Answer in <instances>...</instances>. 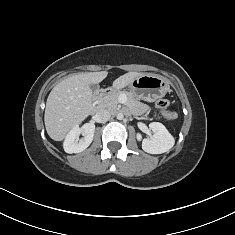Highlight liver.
<instances>
[{
	"label": "liver",
	"instance_id": "1",
	"mask_svg": "<svg viewBox=\"0 0 235 235\" xmlns=\"http://www.w3.org/2000/svg\"><path fill=\"white\" fill-rule=\"evenodd\" d=\"M108 75L107 71L73 74L51 90L45 108L44 122L49 137L62 141L66 134L84 121L92 110L91 84H98ZM128 72L113 81V88L123 89L139 76Z\"/></svg>",
	"mask_w": 235,
	"mask_h": 235
}]
</instances>
